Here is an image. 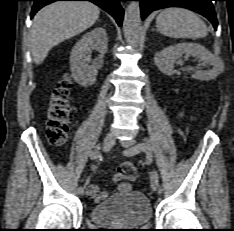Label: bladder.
<instances>
[{"label": "bladder", "instance_id": "1", "mask_svg": "<svg viewBox=\"0 0 234 231\" xmlns=\"http://www.w3.org/2000/svg\"><path fill=\"white\" fill-rule=\"evenodd\" d=\"M90 219L106 226H139L152 218L150 200L141 192L116 194L95 204L89 211Z\"/></svg>", "mask_w": 234, "mask_h": 231}]
</instances>
